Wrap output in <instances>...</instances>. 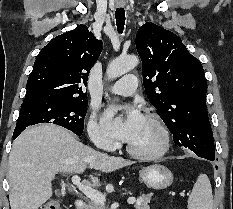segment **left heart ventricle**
Segmentation results:
<instances>
[{
    "mask_svg": "<svg viewBox=\"0 0 233 209\" xmlns=\"http://www.w3.org/2000/svg\"><path fill=\"white\" fill-rule=\"evenodd\" d=\"M161 137L157 127L147 118H144L142 125L134 138L128 142L135 150L150 152L156 150L160 145Z\"/></svg>",
    "mask_w": 233,
    "mask_h": 209,
    "instance_id": "obj_1",
    "label": "left heart ventricle"
}]
</instances>
